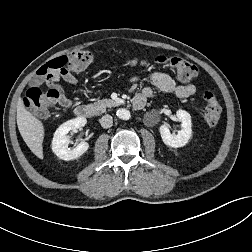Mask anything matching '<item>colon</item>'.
<instances>
[{
	"instance_id": "1",
	"label": "colon",
	"mask_w": 252,
	"mask_h": 252,
	"mask_svg": "<svg viewBox=\"0 0 252 252\" xmlns=\"http://www.w3.org/2000/svg\"><path fill=\"white\" fill-rule=\"evenodd\" d=\"M94 56L91 51L78 50L71 55L54 58L40 67L36 72L32 87L27 90L23 99L24 106L36 115H45L55 106L66 104L68 100L58 83L60 74L65 70V67L75 71L86 69L93 62ZM154 63L170 67L174 74L184 81L194 79L198 74V69L194 64L180 57L158 56L154 59ZM129 64L131 66H148L150 62L133 57L129 60ZM43 83L48 85L47 90L40 87ZM203 99L205 101L204 121L208 126L213 127L220 120L221 106L216 95L211 91H205Z\"/></svg>"
}]
</instances>
